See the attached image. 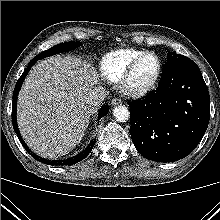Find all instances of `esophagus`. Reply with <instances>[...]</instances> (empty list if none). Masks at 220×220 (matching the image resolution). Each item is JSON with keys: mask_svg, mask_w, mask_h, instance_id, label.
<instances>
[{"mask_svg": "<svg viewBox=\"0 0 220 220\" xmlns=\"http://www.w3.org/2000/svg\"><path fill=\"white\" fill-rule=\"evenodd\" d=\"M121 103H122V100L120 98H114L112 99V102H111L113 106L119 105Z\"/></svg>", "mask_w": 220, "mask_h": 220, "instance_id": "esophagus-1", "label": "esophagus"}]
</instances>
